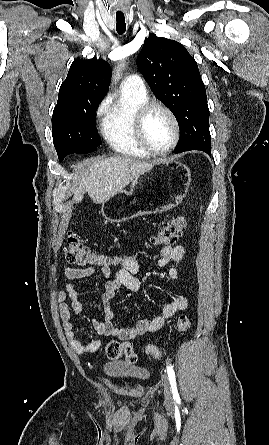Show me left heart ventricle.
Returning <instances> with one entry per match:
<instances>
[{
    "instance_id": "1",
    "label": "left heart ventricle",
    "mask_w": 269,
    "mask_h": 445,
    "mask_svg": "<svg viewBox=\"0 0 269 445\" xmlns=\"http://www.w3.org/2000/svg\"><path fill=\"white\" fill-rule=\"evenodd\" d=\"M145 138L156 151L169 147L174 137V126L170 117L160 109L152 110L144 125Z\"/></svg>"
}]
</instances>
